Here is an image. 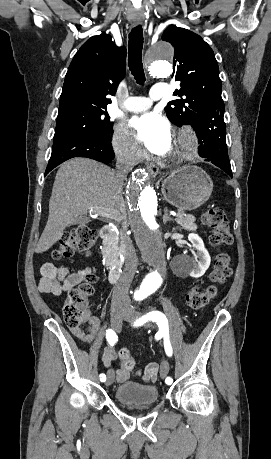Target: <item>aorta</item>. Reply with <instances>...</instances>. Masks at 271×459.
I'll return each mask as SVG.
<instances>
[{
    "label": "aorta",
    "instance_id": "aorta-1",
    "mask_svg": "<svg viewBox=\"0 0 271 459\" xmlns=\"http://www.w3.org/2000/svg\"><path fill=\"white\" fill-rule=\"evenodd\" d=\"M173 48L166 42L158 43L149 57V74L153 77H167L172 72L169 60ZM183 160H194L196 148L188 138H181ZM148 174L145 169H138L132 174L128 190V217L136 244L146 263L152 270L144 278L141 289L144 293L155 292L162 284L161 272L166 267V257L162 234L157 221V195L152 186L147 184Z\"/></svg>",
    "mask_w": 271,
    "mask_h": 459
}]
</instances>
